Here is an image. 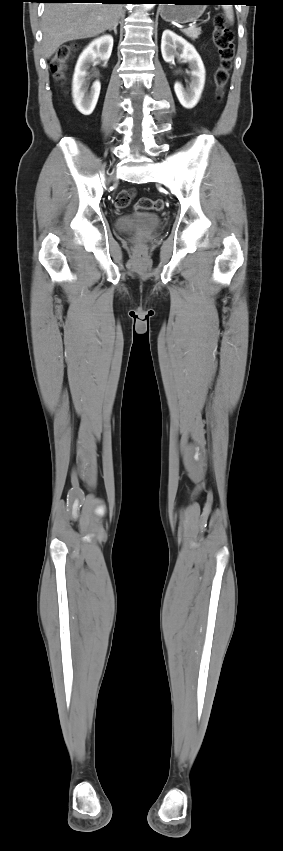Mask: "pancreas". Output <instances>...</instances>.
Returning a JSON list of instances; mask_svg holds the SVG:
<instances>
[{
  "label": "pancreas",
  "mask_w": 283,
  "mask_h": 851,
  "mask_svg": "<svg viewBox=\"0 0 283 851\" xmlns=\"http://www.w3.org/2000/svg\"><path fill=\"white\" fill-rule=\"evenodd\" d=\"M183 33H184L187 37L191 38L192 40H195V39H197V38L199 37V35L201 34V29H200V28H195V27H194V28H188V29H184V30H183Z\"/></svg>",
  "instance_id": "obj_1"
}]
</instances>
